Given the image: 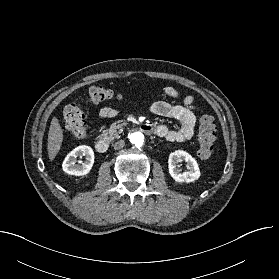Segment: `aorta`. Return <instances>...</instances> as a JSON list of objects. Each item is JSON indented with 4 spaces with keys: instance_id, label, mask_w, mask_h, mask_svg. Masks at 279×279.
<instances>
[{
    "instance_id": "obj_1",
    "label": "aorta",
    "mask_w": 279,
    "mask_h": 279,
    "mask_svg": "<svg viewBox=\"0 0 279 279\" xmlns=\"http://www.w3.org/2000/svg\"><path fill=\"white\" fill-rule=\"evenodd\" d=\"M129 139L132 144L137 147H140L144 142V135L140 131H132L129 134Z\"/></svg>"
}]
</instances>
